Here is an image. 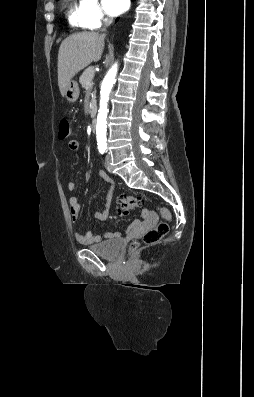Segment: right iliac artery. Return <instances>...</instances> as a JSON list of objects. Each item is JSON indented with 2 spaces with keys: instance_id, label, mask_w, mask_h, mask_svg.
Here are the masks:
<instances>
[{
  "instance_id": "right-iliac-artery-1",
  "label": "right iliac artery",
  "mask_w": 254,
  "mask_h": 397,
  "mask_svg": "<svg viewBox=\"0 0 254 397\" xmlns=\"http://www.w3.org/2000/svg\"><path fill=\"white\" fill-rule=\"evenodd\" d=\"M99 152H100L101 154H103V153L105 152V149H104V148H100V149H99Z\"/></svg>"
}]
</instances>
